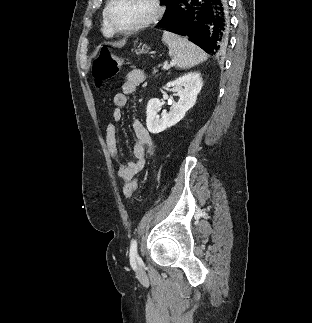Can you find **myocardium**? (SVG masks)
Returning a JSON list of instances; mask_svg holds the SVG:
<instances>
[{
    "label": "myocardium",
    "mask_w": 312,
    "mask_h": 323,
    "mask_svg": "<svg viewBox=\"0 0 312 323\" xmlns=\"http://www.w3.org/2000/svg\"><path fill=\"white\" fill-rule=\"evenodd\" d=\"M152 10L149 12L148 18H139V20H119L116 18L118 8L126 4L125 0H110L107 3V10L104 11L105 19L110 25V31H144L145 25H149L150 21H163V10H166V3L161 0H147Z\"/></svg>",
    "instance_id": "obj_1"
}]
</instances>
